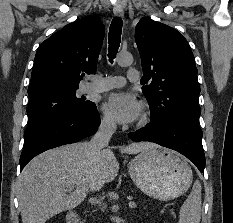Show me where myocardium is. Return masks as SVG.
Wrapping results in <instances>:
<instances>
[{"label": "myocardium", "mask_w": 233, "mask_h": 223, "mask_svg": "<svg viewBox=\"0 0 233 223\" xmlns=\"http://www.w3.org/2000/svg\"><path fill=\"white\" fill-rule=\"evenodd\" d=\"M152 120H153V113L149 108L145 107L140 119L136 124V127L140 129L146 128L151 124Z\"/></svg>", "instance_id": "f54148a6"}]
</instances>
